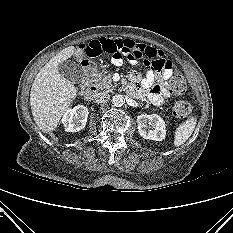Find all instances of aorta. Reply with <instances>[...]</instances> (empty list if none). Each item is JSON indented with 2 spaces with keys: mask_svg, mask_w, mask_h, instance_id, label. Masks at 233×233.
<instances>
[{
  "mask_svg": "<svg viewBox=\"0 0 233 233\" xmlns=\"http://www.w3.org/2000/svg\"><path fill=\"white\" fill-rule=\"evenodd\" d=\"M112 103L116 106V107H121L124 105L125 103V98L123 95L121 94H116L112 97Z\"/></svg>",
  "mask_w": 233,
  "mask_h": 233,
  "instance_id": "aorta-1",
  "label": "aorta"
}]
</instances>
